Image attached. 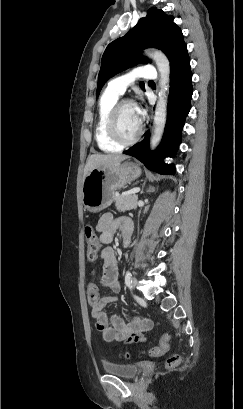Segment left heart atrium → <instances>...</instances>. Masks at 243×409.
<instances>
[{"mask_svg": "<svg viewBox=\"0 0 243 409\" xmlns=\"http://www.w3.org/2000/svg\"><path fill=\"white\" fill-rule=\"evenodd\" d=\"M135 109H136V113H137V115H138V117H139V120H140V122H141L142 117H143V111H142V109H141L139 106H135Z\"/></svg>", "mask_w": 243, "mask_h": 409, "instance_id": "obj_1", "label": "left heart atrium"}]
</instances>
